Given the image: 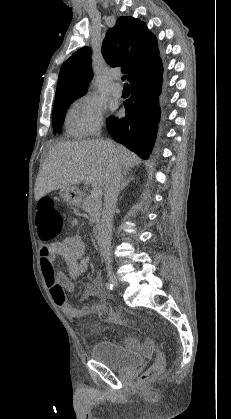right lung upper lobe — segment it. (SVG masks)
Instances as JSON below:
<instances>
[{"mask_svg": "<svg viewBox=\"0 0 231 419\" xmlns=\"http://www.w3.org/2000/svg\"><path fill=\"white\" fill-rule=\"evenodd\" d=\"M102 54L112 67L121 66L130 81L160 59L154 34L144 22L122 16L107 31ZM89 47L77 50L61 67L55 102L84 95L93 76ZM54 102V103H55Z\"/></svg>", "mask_w": 231, "mask_h": 419, "instance_id": "cb5924a9", "label": "right lung upper lobe"}]
</instances>
